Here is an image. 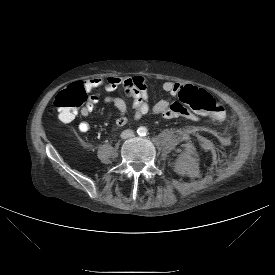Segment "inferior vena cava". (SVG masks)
<instances>
[{
  "mask_svg": "<svg viewBox=\"0 0 275 275\" xmlns=\"http://www.w3.org/2000/svg\"><path fill=\"white\" fill-rule=\"evenodd\" d=\"M133 136H134V132H133V130H130V129L124 130L121 133V138L122 139H128V138H131Z\"/></svg>",
  "mask_w": 275,
  "mask_h": 275,
  "instance_id": "obj_1",
  "label": "inferior vena cava"
}]
</instances>
